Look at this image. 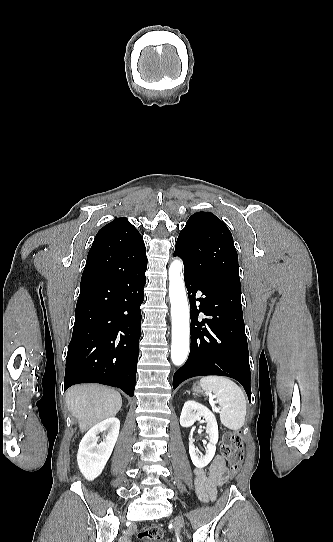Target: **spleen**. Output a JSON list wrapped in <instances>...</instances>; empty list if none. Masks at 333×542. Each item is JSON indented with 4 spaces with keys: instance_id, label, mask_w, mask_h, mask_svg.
<instances>
[{
    "instance_id": "3e777b00",
    "label": "spleen",
    "mask_w": 333,
    "mask_h": 542,
    "mask_svg": "<svg viewBox=\"0 0 333 542\" xmlns=\"http://www.w3.org/2000/svg\"><path fill=\"white\" fill-rule=\"evenodd\" d=\"M200 388L206 394H214L220 406V422L228 428L238 432L245 424L247 402L243 390L223 376H206L199 382Z\"/></svg>"
}]
</instances>
